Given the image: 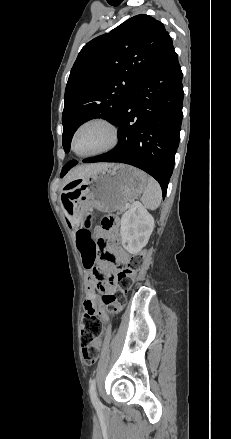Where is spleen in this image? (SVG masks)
Returning a JSON list of instances; mask_svg holds the SVG:
<instances>
[{
	"mask_svg": "<svg viewBox=\"0 0 231 439\" xmlns=\"http://www.w3.org/2000/svg\"><path fill=\"white\" fill-rule=\"evenodd\" d=\"M162 190L159 183L152 177H148L147 186L142 196V203L145 208L155 210L160 205Z\"/></svg>",
	"mask_w": 231,
	"mask_h": 439,
	"instance_id": "3e777b00",
	"label": "spleen"
}]
</instances>
